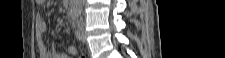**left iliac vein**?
I'll return each mask as SVG.
<instances>
[{
	"label": "left iliac vein",
	"mask_w": 225,
	"mask_h": 58,
	"mask_svg": "<svg viewBox=\"0 0 225 58\" xmlns=\"http://www.w3.org/2000/svg\"><path fill=\"white\" fill-rule=\"evenodd\" d=\"M77 33H78V37L80 40H85L86 38V35H85V29H84V23L82 20H80L78 22V30H77Z\"/></svg>",
	"instance_id": "4c4485c4"
}]
</instances>
